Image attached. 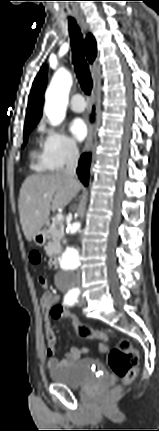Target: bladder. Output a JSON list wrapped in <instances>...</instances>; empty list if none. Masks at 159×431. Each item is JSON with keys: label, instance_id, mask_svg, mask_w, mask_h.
<instances>
[{"label": "bladder", "instance_id": "1", "mask_svg": "<svg viewBox=\"0 0 159 431\" xmlns=\"http://www.w3.org/2000/svg\"><path fill=\"white\" fill-rule=\"evenodd\" d=\"M49 375L53 382L72 389L82 388L109 376L105 365L92 358H83L67 367L51 369Z\"/></svg>", "mask_w": 159, "mask_h": 431}]
</instances>
